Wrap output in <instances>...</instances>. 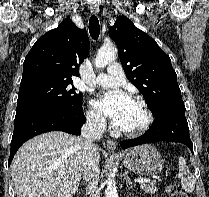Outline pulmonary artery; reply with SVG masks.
Wrapping results in <instances>:
<instances>
[{
	"instance_id": "e3ab8cb5",
	"label": "pulmonary artery",
	"mask_w": 209,
	"mask_h": 197,
	"mask_svg": "<svg viewBox=\"0 0 209 197\" xmlns=\"http://www.w3.org/2000/svg\"><path fill=\"white\" fill-rule=\"evenodd\" d=\"M95 82L104 87L122 85L125 82V77L121 65L117 62L110 63L107 72L99 74Z\"/></svg>"
}]
</instances>
